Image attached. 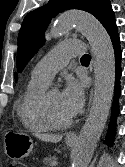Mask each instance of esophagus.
Masks as SVG:
<instances>
[{
	"label": "esophagus",
	"mask_w": 125,
	"mask_h": 167,
	"mask_svg": "<svg viewBox=\"0 0 125 167\" xmlns=\"http://www.w3.org/2000/svg\"><path fill=\"white\" fill-rule=\"evenodd\" d=\"M92 96H93V88L91 89V92H90L88 106H90V103L92 101ZM76 138H77V134L75 132H69L66 135V139L68 140H75Z\"/></svg>",
	"instance_id": "obj_1"
}]
</instances>
